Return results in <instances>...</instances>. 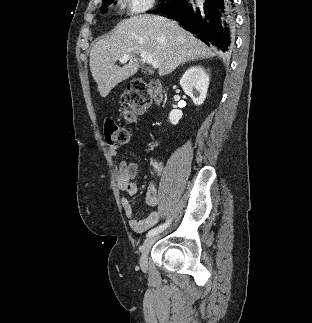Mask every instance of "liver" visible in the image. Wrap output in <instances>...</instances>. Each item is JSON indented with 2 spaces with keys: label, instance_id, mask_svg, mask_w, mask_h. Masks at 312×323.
I'll use <instances>...</instances> for the list:
<instances>
[{
  "label": "liver",
  "instance_id": "6515ba94",
  "mask_svg": "<svg viewBox=\"0 0 312 323\" xmlns=\"http://www.w3.org/2000/svg\"><path fill=\"white\" fill-rule=\"evenodd\" d=\"M141 52L158 62L159 76L174 72L180 64L194 62L198 58L214 56L213 48L194 38V34L180 28L178 22L163 16H131L117 24L111 36L95 42L90 52V70L100 96L109 92L130 76L136 74ZM122 56H130L125 66H115Z\"/></svg>",
  "mask_w": 312,
  "mask_h": 323
}]
</instances>
